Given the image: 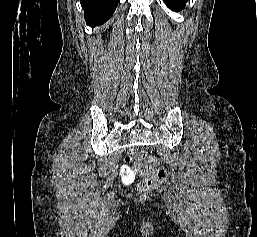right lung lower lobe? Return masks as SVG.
I'll return each instance as SVG.
<instances>
[{
    "label": "right lung lower lobe",
    "instance_id": "right-lung-lower-lobe-1",
    "mask_svg": "<svg viewBox=\"0 0 257 237\" xmlns=\"http://www.w3.org/2000/svg\"><path fill=\"white\" fill-rule=\"evenodd\" d=\"M86 24L95 27L104 24L114 13L119 0H80Z\"/></svg>",
    "mask_w": 257,
    "mask_h": 237
}]
</instances>
